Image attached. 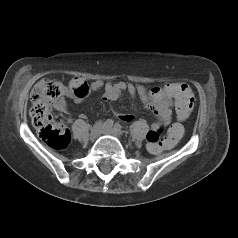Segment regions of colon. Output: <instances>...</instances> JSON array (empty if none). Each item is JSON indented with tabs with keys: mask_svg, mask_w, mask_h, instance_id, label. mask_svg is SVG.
<instances>
[{
	"mask_svg": "<svg viewBox=\"0 0 238 238\" xmlns=\"http://www.w3.org/2000/svg\"><path fill=\"white\" fill-rule=\"evenodd\" d=\"M65 90L66 88L59 81L42 79L31 92L30 118L32 124L44 141L58 149L68 144L70 133L63 124L53 120L51 110L53 105L61 100ZM169 92L175 98L177 109L175 116L181 121H186L194 106L191 89L187 84L178 83ZM162 132V128H154L147 134L148 150L153 154L159 153L162 148L173 147L182 137L183 127L180 124H173L164 138H161Z\"/></svg>",
	"mask_w": 238,
	"mask_h": 238,
	"instance_id": "obj_1",
	"label": "colon"
}]
</instances>
